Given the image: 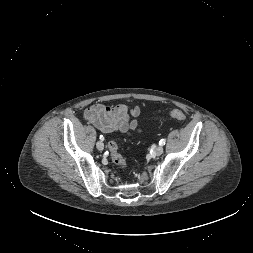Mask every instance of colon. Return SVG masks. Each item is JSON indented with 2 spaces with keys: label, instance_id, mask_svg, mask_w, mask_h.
Listing matches in <instances>:
<instances>
[{
  "label": "colon",
  "instance_id": "5ec220e1",
  "mask_svg": "<svg viewBox=\"0 0 253 253\" xmlns=\"http://www.w3.org/2000/svg\"><path fill=\"white\" fill-rule=\"evenodd\" d=\"M168 114L174 119L180 121L185 120V114L179 109H171L168 111ZM107 147L110 151L113 163L120 168H126L127 163L122 154L119 152L117 143L113 140H110L107 144Z\"/></svg>",
  "mask_w": 253,
  "mask_h": 253
}]
</instances>
